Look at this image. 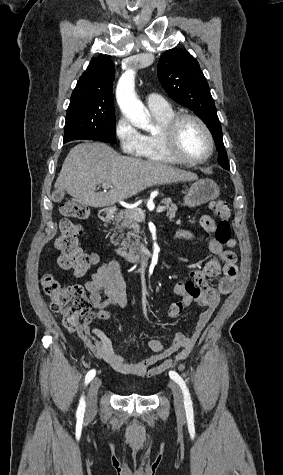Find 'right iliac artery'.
<instances>
[{
  "label": "right iliac artery",
  "instance_id": "obj_1",
  "mask_svg": "<svg viewBox=\"0 0 283 475\" xmlns=\"http://www.w3.org/2000/svg\"><path fill=\"white\" fill-rule=\"evenodd\" d=\"M95 375H96V371L94 369L90 370L85 377V384L87 385L95 377ZM84 411H85V401H84V397H81L80 403L76 412V416L83 417Z\"/></svg>",
  "mask_w": 283,
  "mask_h": 475
}]
</instances>
